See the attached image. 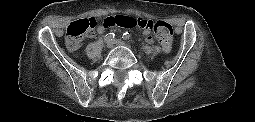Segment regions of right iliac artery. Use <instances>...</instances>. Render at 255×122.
<instances>
[{
    "instance_id": "82829eb1",
    "label": "right iliac artery",
    "mask_w": 255,
    "mask_h": 122,
    "mask_svg": "<svg viewBox=\"0 0 255 122\" xmlns=\"http://www.w3.org/2000/svg\"><path fill=\"white\" fill-rule=\"evenodd\" d=\"M114 37H115L114 33H108V34L105 35L104 41L106 43H109V42H111L113 40Z\"/></svg>"
}]
</instances>
